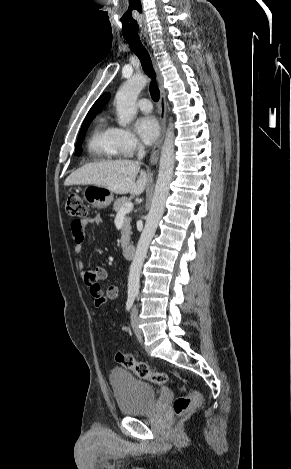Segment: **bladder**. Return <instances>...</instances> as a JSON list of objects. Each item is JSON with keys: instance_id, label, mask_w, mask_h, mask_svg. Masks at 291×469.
<instances>
[{"instance_id": "obj_1", "label": "bladder", "mask_w": 291, "mask_h": 469, "mask_svg": "<svg viewBox=\"0 0 291 469\" xmlns=\"http://www.w3.org/2000/svg\"><path fill=\"white\" fill-rule=\"evenodd\" d=\"M118 411L123 416L134 417L152 410L156 401V390L150 384L137 379L129 371L115 368L110 372Z\"/></svg>"}]
</instances>
